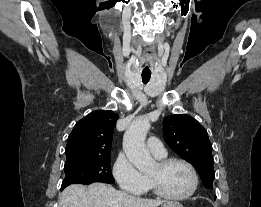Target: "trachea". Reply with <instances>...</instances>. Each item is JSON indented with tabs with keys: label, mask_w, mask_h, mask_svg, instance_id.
<instances>
[{
	"label": "trachea",
	"mask_w": 261,
	"mask_h": 207,
	"mask_svg": "<svg viewBox=\"0 0 261 207\" xmlns=\"http://www.w3.org/2000/svg\"><path fill=\"white\" fill-rule=\"evenodd\" d=\"M150 77H151V73H148V74H145V73H142V81L144 84H147L150 80Z\"/></svg>",
	"instance_id": "obj_1"
}]
</instances>
